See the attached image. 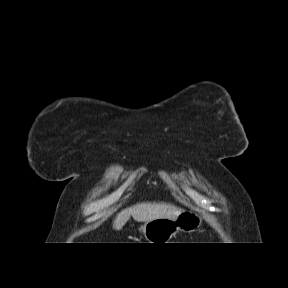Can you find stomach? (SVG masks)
Segmentation results:
<instances>
[{"mask_svg": "<svg viewBox=\"0 0 288 288\" xmlns=\"http://www.w3.org/2000/svg\"><path fill=\"white\" fill-rule=\"evenodd\" d=\"M202 224V217L195 211H182L175 218H156L140 227L148 243H169L178 231L192 232Z\"/></svg>", "mask_w": 288, "mask_h": 288, "instance_id": "stomach-1", "label": "stomach"}]
</instances>
